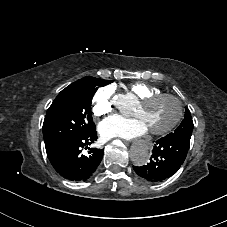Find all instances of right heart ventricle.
Instances as JSON below:
<instances>
[{
	"instance_id": "e07e8e85",
	"label": "right heart ventricle",
	"mask_w": 227,
	"mask_h": 227,
	"mask_svg": "<svg viewBox=\"0 0 227 227\" xmlns=\"http://www.w3.org/2000/svg\"><path fill=\"white\" fill-rule=\"evenodd\" d=\"M128 89L132 95H135L139 99H141L145 96H148V95L157 94V93L161 92L160 88L149 85L143 81L132 82L128 86Z\"/></svg>"
}]
</instances>
